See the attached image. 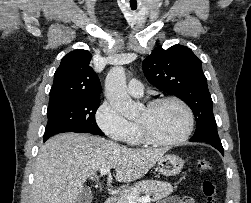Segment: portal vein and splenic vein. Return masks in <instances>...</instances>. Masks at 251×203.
Returning a JSON list of instances; mask_svg holds the SVG:
<instances>
[{"label":"portal vein and splenic vein","instance_id":"1","mask_svg":"<svg viewBox=\"0 0 251 203\" xmlns=\"http://www.w3.org/2000/svg\"><path fill=\"white\" fill-rule=\"evenodd\" d=\"M110 173V168L103 167L100 169V175L104 176ZM129 203H150L151 198L149 196L145 197H136V196H128Z\"/></svg>","mask_w":251,"mask_h":203}]
</instances>
